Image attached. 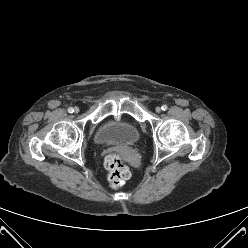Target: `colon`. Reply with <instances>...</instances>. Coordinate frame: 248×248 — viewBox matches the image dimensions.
Returning a JSON list of instances; mask_svg holds the SVG:
<instances>
[{"label":"colon","instance_id":"colon-1","mask_svg":"<svg viewBox=\"0 0 248 248\" xmlns=\"http://www.w3.org/2000/svg\"><path fill=\"white\" fill-rule=\"evenodd\" d=\"M105 166L109 172L108 180L112 187L122 186L130 177V171L127 165L117 153L107 155Z\"/></svg>","mask_w":248,"mask_h":248}]
</instances>
